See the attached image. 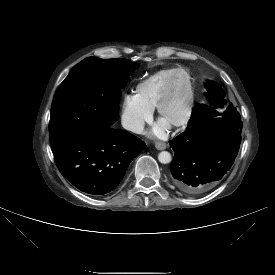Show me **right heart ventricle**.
I'll list each match as a JSON object with an SVG mask.
<instances>
[{"instance_id": "obj_1", "label": "right heart ventricle", "mask_w": 275, "mask_h": 275, "mask_svg": "<svg viewBox=\"0 0 275 275\" xmlns=\"http://www.w3.org/2000/svg\"><path fill=\"white\" fill-rule=\"evenodd\" d=\"M175 68L157 71L137 84L135 96L147 108L153 110Z\"/></svg>"}]
</instances>
